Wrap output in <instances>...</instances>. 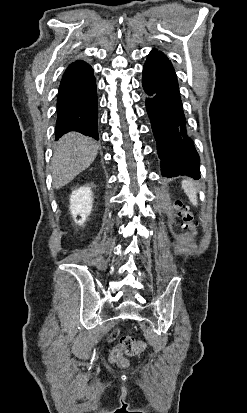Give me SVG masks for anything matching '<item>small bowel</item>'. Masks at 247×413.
<instances>
[{"label":"small bowel","instance_id":"small-bowel-1","mask_svg":"<svg viewBox=\"0 0 247 413\" xmlns=\"http://www.w3.org/2000/svg\"><path fill=\"white\" fill-rule=\"evenodd\" d=\"M118 336V331L116 329H110L108 331V336L106 337L107 341H110L111 338H116Z\"/></svg>","mask_w":247,"mask_h":413}]
</instances>
